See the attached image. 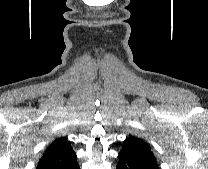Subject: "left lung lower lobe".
I'll use <instances>...</instances> for the list:
<instances>
[{
	"label": "left lung lower lobe",
	"mask_w": 208,
	"mask_h": 169,
	"mask_svg": "<svg viewBox=\"0 0 208 169\" xmlns=\"http://www.w3.org/2000/svg\"><path fill=\"white\" fill-rule=\"evenodd\" d=\"M116 169H153L147 166L140 158L127 151H120L118 154Z\"/></svg>",
	"instance_id": "left-lung-lower-lobe-1"
}]
</instances>
